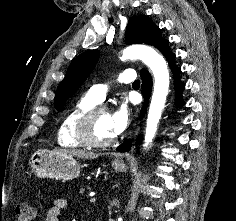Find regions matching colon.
Segmentation results:
<instances>
[{
  "mask_svg": "<svg viewBox=\"0 0 236 221\" xmlns=\"http://www.w3.org/2000/svg\"><path fill=\"white\" fill-rule=\"evenodd\" d=\"M36 208L29 203H21L16 209V221H34Z\"/></svg>",
  "mask_w": 236,
  "mask_h": 221,
  "instance_id": "colon-1",
  "label": "colon"
}]
</instances>
